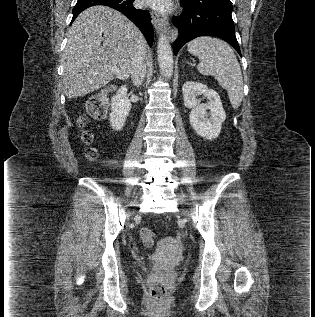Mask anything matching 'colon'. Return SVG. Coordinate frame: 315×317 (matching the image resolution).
<instances>
[{"mask_svg": "<svg viewBox=\"0 0 315 317\" xmlns=\"http://www.w3.org/2000/svg\"><path fill=\"white\" fill-rule=\"evenodd\" d=\"M88 109L91 115L97 118H101L105 115V112H106L105 102L103 101L102 98L95 97L90 101L88 105ZM80 125L82 126V121H80ZM81 141L86 147L85 149L86 157L91 161L94 160L97 157V151L94 147L91 146L92 135L88 130L86 129L81 130ZM154 237H155V234L150 228L144 227L140 230V239L145 246L147 247L152 246L154 243ZM166 294H167V290L163 283L159 281H154L151 283L150 297L153 300L161 301L166 297Z\"/></svg>", "mask_w": 315, "mask_h": 317, "instance_id": "colon-1", "label": "colon"}]
</instances>
